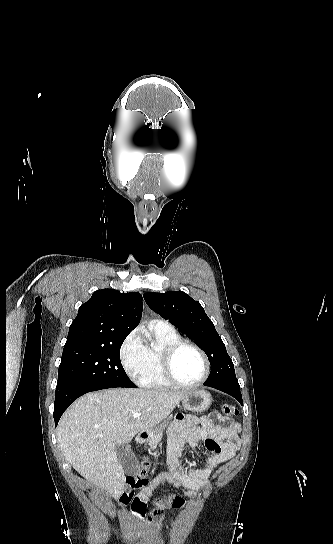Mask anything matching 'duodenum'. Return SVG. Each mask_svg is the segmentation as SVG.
<instances>
[{
  "label": "duodenum",
  "mask_w": 333,
  "mask_h": 544,
  "mask_svg": "<svg viewBox=\"0 0 333 544\" xmlns=\"http://www.w3.org/2000/svg\"><path fill=\"white\" fill-rule=\"evenodd\" d=\"M147 438V434L146 433H140L137 437H136V443L137 444H142L143 442H145Z\"/></svg>",
  "instance_id": "410a0bca"
}]
</instances>
